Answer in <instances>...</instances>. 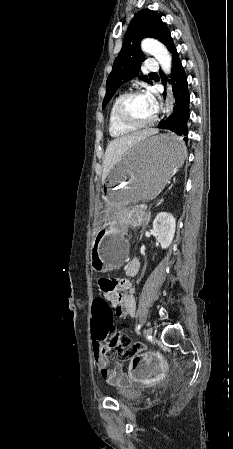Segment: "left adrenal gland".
<instances>
[{
  "label": "left adrenal gland",
  "mask_w": 233,
  "mask_h": 449,
  "mask_svg": "<svg viewBox=\"0 0 233 449\" xmlns=\"http://www.w3.org/2000/svg\"><path fill=\"white\" fill-rule=\"evenodd\" d=\"M162 202H163V200H160V201L156 204V206L160 205ZM150 216H151V212H150V210H149V212H148V221L150 220Z\"/></svg>",
  "instance_id": "1"
}]
</instances>
